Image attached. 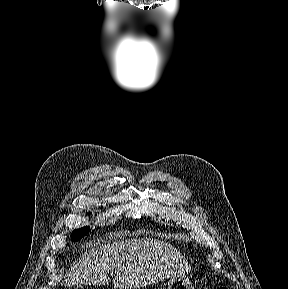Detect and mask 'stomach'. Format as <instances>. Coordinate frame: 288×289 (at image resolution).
Returning a JSON list of instances; mask_svg holds the SVG:
<instances>
[{
  "label": "stomach",
  "mask_w": 288,
  "mask_h": 289,
  "mask_svg": "<svg viewBox=\"0 0 288 289\" xmlns=\"http://www.w3.org/2000/svg\"><path fill=\"white\" fill-rule=\"evenodd\" d=\"M168 289H194L189 278L177 275L168 281Z\"/></svg>",
  "instance_id": "1"
}]
</instances>
